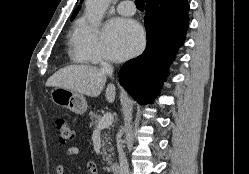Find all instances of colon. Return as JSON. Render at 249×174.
<instances>
[{"label": "colon", "mask_w": 249, "mask_h": 174, "mask_svg": "<svg viewBox=\"0 0 249 174\" xmlns=\"http://www.w3.org/2000/svg\"><path fill=\"white\" fill-rule=\"evenodd\" d=\"M55 128L59 142L62 144L69 143L74 137V131L66 119L59 118L55 122Z\"/></svg>", "instance_id": "1"}]
</instances>
